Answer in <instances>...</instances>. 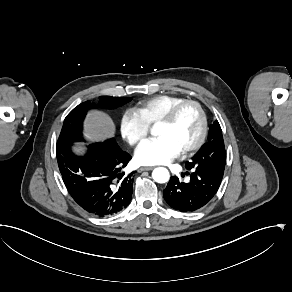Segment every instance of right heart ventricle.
Instances as JSON below:
<instances>
[{"label":"right heart ventricle","mask_w":292,"mask_h":292,"mask_svg":"<svg viewBox=\"0 0 292 292\" xmlns=\"http://www.w3.org/2000/svg\"><path fill=\"white\" fill-rule=\"evenodd\" d=\"M184 99L177 94H160L139 101L134 109L148 126H152L169 107Z\"/></svg>","instance_id":"1"}]
</instances>
